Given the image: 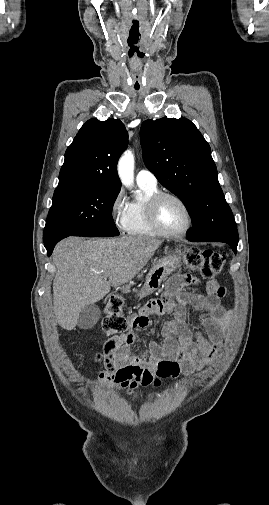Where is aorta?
I'll return each instance as SVG.
<instances>
[{
	"mask_svg": "<svg viewBox=\"0 0 269 505\" xmlns=\"http://www.w3.org/2000/svg\"><path fill=\"white\" fill-rule=\"evenodd\" d=\"M119 177L126 187L134 183V156L131 151H126L118 163Z\"/></svg>",
	"mask_w": 269,
	"mask_h": 505,
	"instance_id": "aorta-1",
	"label": "aorta"
}]
</instances>
